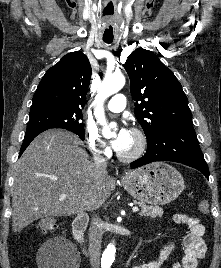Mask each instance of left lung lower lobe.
<instances>
[{
  "instance_id": "left-lung-lower-lobe-1",
  "label": "left lung lower lobe",
  "mask_w": 221,
  "mask_h": 268,
  "mask_svg": "<svg viewBox=\"0 0 221 268\" xmlns=\"http://www.w3.org/2000/svg\"><path fill=\"white\" fill-rule=\"evenodd\" d=\"M155 161L179 162L196 168L209 179L208 166L193 127H175L157 134L147 141L146 154L130 166L137 168Z\"/></svg>"
}]
</instances>
